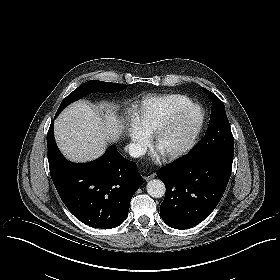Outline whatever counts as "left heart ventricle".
I'll return each mask as SVG.
<instances>
[{
  "label": "left heart ventricle",
  "mask_w": 280,
  "mask_h": 280,
  "mask_svg": "<svg viewBox=\"0 0 280 280\" xmlns=\"http://www.w3.org/2000/svg\"><path fill=\"white\" fill-rule=\"evenodd\" d=\"M189 123L190 121L179 123L176 124L175 126H172L171 131L167 134V137L164 140L162 146L165 148H173L174 146H176L178 141L182 137V130H183L182 128Z\"/></svg>",
  "instance_id": "obj_1"
}]
</instances>
